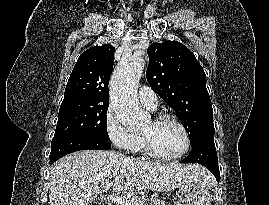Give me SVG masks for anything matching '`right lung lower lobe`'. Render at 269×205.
Returning a JSON list of instances; mask_svg holds the SVG:
<instances>
[{
    "instance_id": "obj_1",
    "label": "right lung lower lobe",
    "mask_w": 269,
    "mask_h": 205,
    "mask_svg": "<svg viewBox=\"0 0 269 205\" xmlns=\"http://www.w3.org/2000/svg\"><path fill=\"white\" fill-rule=\"evenodd\" d=\"M109 148H111L109 141L96 137L80 134L56 136L52 139L49 159L53 163L64 155L75 151L84 149L107 150Z\"/></svg>"
}]
</instances>
